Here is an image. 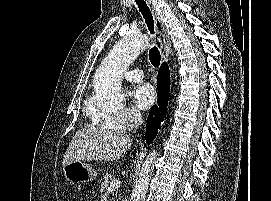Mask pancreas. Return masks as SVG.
<instances>
[{
    "label": "pancreas",
    "mask_w": 271,
    "mask_h": 201,
    "mask_svg": "<svg viewBox=\"0 0 271 201\" xmlns=\"http://www.w3.org/2000/svg\"><path fill=\"white\" fill-rule=\"evenodd\" d=\"M104 181L100 184V193L102 194V193H104V192H106L107 190H108V187L110 186V183L112 182V181H114L115 179L110 175V174H106L105 176H104ZM113 196H116L117 195V193H113L112 194Z\"/></svg>",
    "instance_id": "1"
}]
</instances>
